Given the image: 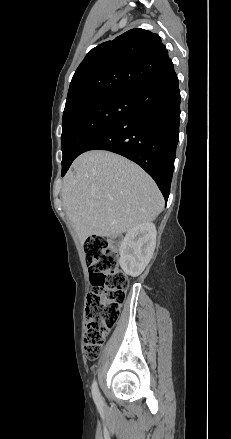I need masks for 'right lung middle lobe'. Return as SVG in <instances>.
Masks as SVG:
<instances>
[{"label":"right lung middle lobe","instance_id":"dd1d6c3e","mask_svg":"<svg viewBox=\"0 0 231 439\" xmlns=\"http://www.w3.org/2000/svg\"><path fill=\"white\" fill-rule=\"evenodd\" d=\"M134 110V93H111L90 98L64 111L62 170L73 162L92 135Z\"/></svg>","mask_w":231,"mask_h":439}]
</instances>
